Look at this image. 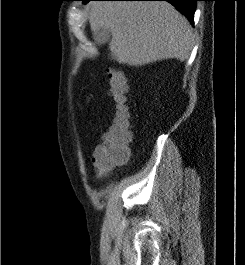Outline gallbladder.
Here are the masks:
<instances>
[{
    "label": "gallbladder",
    "instance_id": "gallbladder-1",
    "mask_svg": "<svg viewBox=\"0 0 245 265\" xmlns=\"http://www.w3.org/2000/svg\"><path fill=\"white\" fill-rule=\"evenodd\" d=\"M111 32L109 29L104 27H99L97 30L93 31V38L96 44L102 45L110 40Z\"/></svg>",
    "mask_w": 245,
    "mask_h": 265
}]
</instances>
